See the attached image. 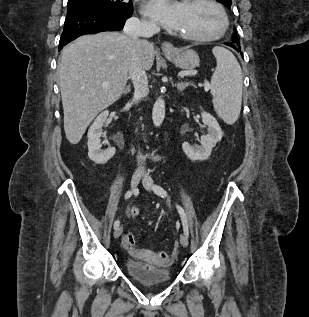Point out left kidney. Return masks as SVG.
<instances>
[{"label": "left kidney", "mask_w": 309, "mask_h": 317, "mask_svg": "<svg viewBox=\"0 0 309 317\" xmlns=\"http://www.w3.org/2000/svg\"><path fill=\"white\" fill-rule=\"evenodd\" d=\"M201 115L202 122L208 127V133L201 137V145L191 146L188 142L182 144L184 153L192 161L206 160L211 155L213 147L223 136L221 127L211 114L202 112Z\"/></svg>", "instance_id": "1"}]
</instances>
